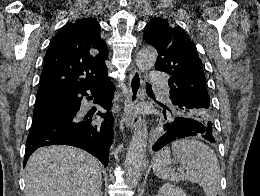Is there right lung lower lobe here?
<instances>
[{
    "label": "right lung lower lobe",
    "instance_id": "1",
    "mask_svg": "<svg viewBox=\"0 0 260 196\" xmlns=\"http://www.w3.org/2000/svg\"><path fill=\"white\" fill-rule=\"evenodd\" d=\"M107 110L106 113L97 111L84 116L80 110L81 100L89 96ZM114 85L108 78L106 81L84 88L72 94L53 100L38 107L44 111L62 114L66 117L32 127L26 142L24 165L29 156L39 147L47 145H71L89 152L97 157L103 165H108V153L112 144L113 117L109 112V103L113 98ZM103 118L100 122L99 119Z\"/></svg>",
    "mask_w": 260,
    "mask_h": 196
}]
</instances>
